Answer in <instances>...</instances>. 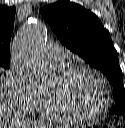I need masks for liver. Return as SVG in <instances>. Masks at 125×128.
<instances>
[{
	"instance_id": "liver-1",
	"label": "liver",
	"mask_w": 125,
	"mask_h": 128,
	"mask_svg": "<svg viewBox=\"0 0 125 128\" xmlns=\"http://www.w3.org/2000/svg\"><path fill=\"white\" fill-rule=\"evenodd\" d=\"M8 85L0 76V128L20 127L22 122L12 116Z\"/></svg>"
}]
</instances>
